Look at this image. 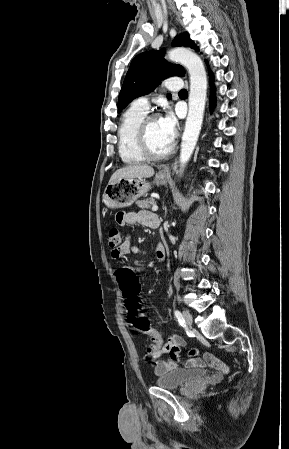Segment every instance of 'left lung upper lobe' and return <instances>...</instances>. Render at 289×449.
Listing matches in <instances>:
<instances>
[{"instance_id":"5c2ea615","label":"left lung upper lobe","mask_w":289,"mask_h":449,"mask_svg":"<svg viewBox=\"0 0 289 449\" xmlns=\"http://www.w3.org/2000/svg\"><path fill=\"white\" fill-rule=\"evenodd\" d=\"M172 45H184L198 50V47L189 38L188 33L177 36ZM164 53L163 50L147 51L137 55L132 60L119 94L118 113L135 98L153 91L160 80L170 76H184L183 67L168 63L163 58ZM168 98L171 99L170 94Z\"/></svg>"}]
</instances>
